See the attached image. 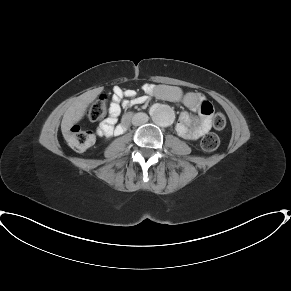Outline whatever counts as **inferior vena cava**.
<instances>
[{
    "label": "inferior vena cava",
    "mask_w": 291,
    "mask_h": 291,
    "mask_svg": "<svg viewBox=\"0 0 291 291\" xmlns=\"http://www.w3.org/2000/svg\"><path fill=\"white\" fill-rule=\"evenodd\" d=\"M148 115L146 113H136L133 117H132V124L135 126H139L142 125L144 123H146L148 121Z\"/></svg>",
    "instance_id": "inferior-vena-cava-1"
}]
</instances>
